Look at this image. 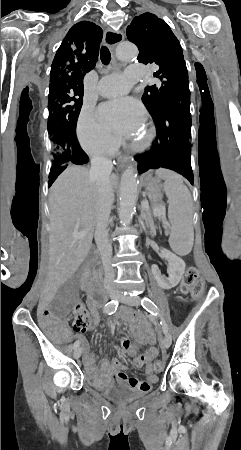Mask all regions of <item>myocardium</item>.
I'll return each mask as SVG.
<instances>
[{
  "label": "myocardium",
  "instance_id": "f54148a6",
  "mask_svg": "<svg viewBox=\"0 0 241 450\" xmlns=\"http://www.w3.org/2000/svg\"><path fill=\"white\" fill-rule=\"evenodd\" d=\"M145 137H142V142H143V153H148V149L149 147V142H151V137L150 135H154V130H146L145 132Z\"/></svg>",
  "mask_w": 241,
  "mask_h": 450
}]
</instances>
